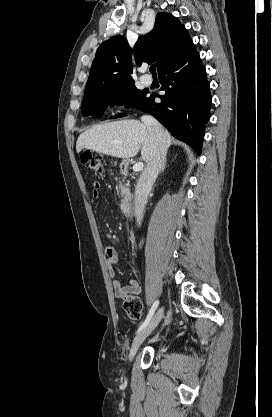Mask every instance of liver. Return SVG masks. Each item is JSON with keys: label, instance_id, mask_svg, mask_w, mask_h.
Listing matches in <instances>:
<instances>
[{"label": "liver", "instance_id": "6515ba94", "mask_svg": "<svg viewBox=\"0 0 272 417\" xmlns=\"http://www.w3.org/2000/svg\"><path fill=\"white\" fill-rule=\"evenodd\" d=\"M164 137L168 148L171 136L166 130ZM84 148L123 159L134 157L141 148V156L146 163L150 160L152 149L147 127L140 121L130 119L98 124L86 130L76 142L78 153Z\"/></svg>", "mask_w": 272, "mask_h": 417}]
</instances>
